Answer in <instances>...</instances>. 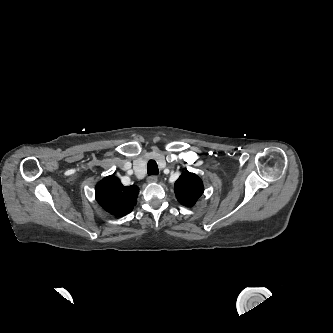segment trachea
Segmentation results:
<instances>
[{"instance_id": "1", "label": "trachea", "mask_w": 333, "mask_h": 333, "mask_svg": "<svg viewBox=\"0 0 333 333\" xmlns=\"http://www.w3.org/2000/svg\"><path fill=\"white\" fill-rule=\"evenodd\" d=\"M147 173L148 175H158L159 170H158V165L156 161L150 160L147 164Z\"/></svg>"}]
</instances>
